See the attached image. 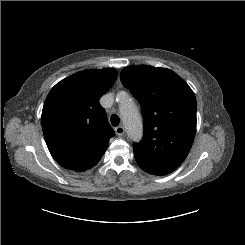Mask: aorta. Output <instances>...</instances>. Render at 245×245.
Masks as SVG:
<instances>
[{
  "label": "aorta",
  "instance_id": "1",
  "mask_svg": "<svg viewBox=\"0 0 245 245\" xmlns=\"http://www.w3.org/2000/svg\"><path fill=\"white\" fill-rule=\"evenodd\" d=\"M120 115L131 140L137 141L143 133L142 120L133 101L126 95H121Z\"/></svg>",
  "mask_w": 245,
  "mask_h": 245
}]
</instances>
